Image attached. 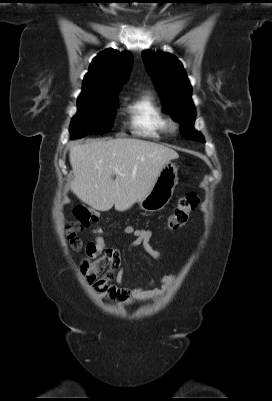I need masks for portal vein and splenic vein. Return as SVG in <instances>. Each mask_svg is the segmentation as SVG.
<instances>
[{
  "instance_id": "18ae733b",
  "label": "portal vein and splenic vein",
  "mask_w": 272,
  "mask_h": 401,
  "mask_svg": "<svg viewBox=\"0 0 272 401\" xmlns=\"http://www.w3.org/2000/svg\"><path fill=\"white\" fill-rule=\"evenodd\" d=\"M115 173H120V171L118 170V168H114Z\"/></svg>"
}]
</instances>
